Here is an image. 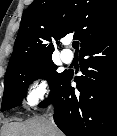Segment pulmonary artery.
<instances>
[{
    "label": "pulmonary artery",
    "instance_id": "obj_1",
    "mask_svg": "<svg viewBox=\"0 0 117 136\" xmlns=\"http://www.w3.org/2000/svg\"><path fill=\"white\" fill-rule=\"evenodd\" d=\"M61 58L65 63H71L73 60V53L68 49H64L61 52Z\"/></svg>",
    "mask_w": 117,
    "mask_h": 136
}]
</instances>
